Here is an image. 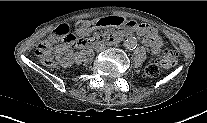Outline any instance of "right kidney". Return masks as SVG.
<instances>
[{
  "mask_svg": "<svg viewBox=\"0 0 207 123\" xmlns=\"http://www.w3.org/2000/svg\"><path fill=\"white\" fill-rule=\"evenodd\" d=\"M55 56L62 67L68 68L72 66L73 61L71 58V53H66L63 46L60 45L56 48Z\"/></svg>",
  "mask_w": 207,
  "mask_h": 123,
  "instance_id": "ca27d5eb",
  "label": "right kidney"
}]
</instances>
